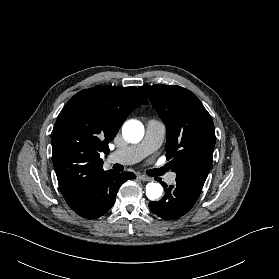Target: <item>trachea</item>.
Returning a JSON list of instances; mask_svg holds the SVG:
<instances>
[{"label": "trachea", "instance_id": "trachea-1", "mask_svg": "<svg viewBox=\"0 0 279 279\" xmlns=\"http://www.w3.org/2000/svg\"><path fill=\"white\" fill-rule=\"evenodd\" d=\"M167 167H163V168H160V169H154L151 171L152 175L153 176H160L162 174H164L166 171H167Z\"/></svg>", "mask_w": 279, "mask_h": 279}]
</instances>
